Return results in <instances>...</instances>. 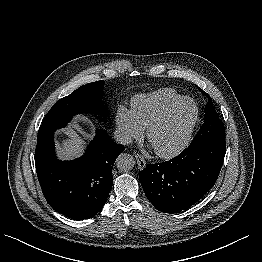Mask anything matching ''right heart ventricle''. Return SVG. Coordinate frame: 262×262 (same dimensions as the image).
Masks as SVG:
<instances>
[{
	"label": "right heart ventricle",
	"instance_id": "right-heart-ventricle-1",
	"mask_svg": "<svg viewBox=\"0 0 262 262\" xmlns=\"http://www.w3.org/2000/svg\"><path fill=\"white\" fill-rule=\"evenodd\" d=\"M183 97L170 88L140 94L133 98L131 112L141 128L147 129L167 107Z\"/></svg>",
	"mask_w": 262,
	"mask_h": 262
}]
</instances>
